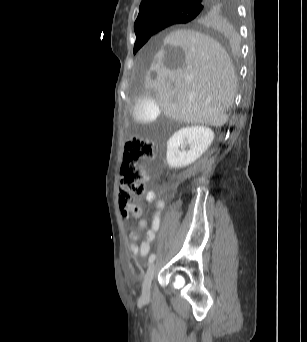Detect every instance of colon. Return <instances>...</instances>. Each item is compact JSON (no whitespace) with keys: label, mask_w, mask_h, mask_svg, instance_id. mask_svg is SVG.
I'll use <instances>...</instances> for the list:
<instances>
[{"label":"colon","mask_w":307,"mask_h":342,"mask_svg":"<svg viewBox=\"0 0 307 342\" xmlns=\"http://www.w3.org/2000/svg\"><path fill=\"white\" fill-rule=\"evenodd\" d=\"M154 155V144L151 140L135 137L124 147L123 165L120 172L118 201L124 217L134 216L138 206V198L147 183L148 176L137 162L149 161Z\"/></svg>","instance_id":"5ec220e1"}]
</instances>
